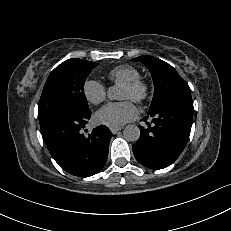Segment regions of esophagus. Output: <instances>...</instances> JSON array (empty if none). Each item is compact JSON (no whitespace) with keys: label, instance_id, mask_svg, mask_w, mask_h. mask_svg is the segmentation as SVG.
<instances>
[{"label":"esophagus","instance_id":"esophagus-1","mask_svg":"<svg viewBox=\"0 0 231 231\" xmlns=\"http://www.w3.org/2000/svg\"><path fill=\"white\" fill-rule=\"evenodd\" d=\"M122 128L119 127V128H110V131L112 132V134H116L118 133Z\"/></svg>","mask_w":231,"mask_h":231}]
</instances>
